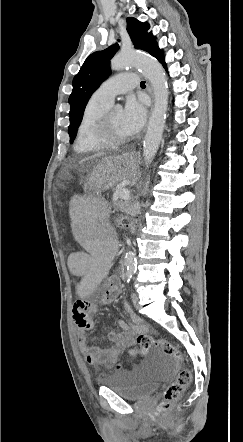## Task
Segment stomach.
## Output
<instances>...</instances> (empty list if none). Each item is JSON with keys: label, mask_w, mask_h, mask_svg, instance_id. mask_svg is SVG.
Returning <instances> with one entry per match:
<instances>
[{"label": "stomach", "mask_w": 243, "mask_h": 442, "mask_svg": "<svg viewBox=\"0 0 243 442\" xmlns=\"http://www.w3.org/2000/svg\"><path fill=\"white\" fill-rule=\"evenodd\" d=\"M138 167L134 154L108 157L99 162L85 181V188L95 192L108 190L124 179L133 177Z\"/></svg>", "instance_id": "obj_1"}]
</instances>
